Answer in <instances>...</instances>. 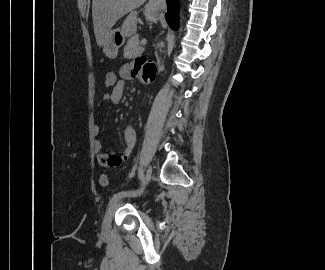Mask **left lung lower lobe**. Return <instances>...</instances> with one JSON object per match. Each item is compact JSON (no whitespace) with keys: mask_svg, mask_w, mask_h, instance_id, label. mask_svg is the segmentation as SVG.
Returning a JSON list of instances; mask_svg holds the SVG:
<instances>
[{"mask_svg":"<svg viewBox=\"0 0 325 270\" xmlns=\"http://www.w3.org/2000/svg\"><path fill=\"white\" fill-rule=\"evenodd\" d=\"M168 11L165 14V18L172 29H176L178 25V1L167 0Z\"/></svg>","mask_w":325,"mask_h":270,"instance_id":"left-lung-lower-lobe-1","label":"left lung lower lobe"}]
</instances>
